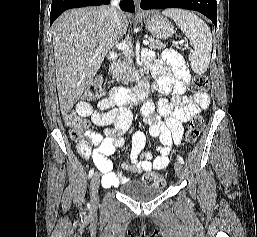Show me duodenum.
<instances>
[{
	"label": "duodenum",
	"instance_id": "1",
	"mask_svg": "<svg viewBox=\"0 0 257 237\" xmlns=\"http://www.w3.org/2000/svg\"><path fill=\"white\" fill-rule=\"evenodd\" d=\"M117 56L114 52L108 54V60L110 62L116 61ZM149 92V83L148 81L141 82L134 89H127L122 86H114L109 90L110 98L117 103H136L144 99Z\"/></svg>",
	"mask_w": 257,
	"mask_h": 237
}]
</instances>
